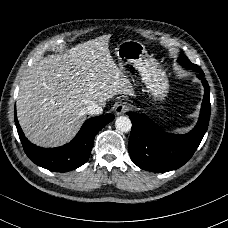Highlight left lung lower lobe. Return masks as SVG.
I'll return each mask as SVG.
<instances>
[{
  "label": "left lung lower lobe",
  "instance_id": "obj_1",
  "mask_svg": "<svg viewBox=\"0 0 228 228\" xmlns=\"http://www.w3.org/2000/svg\"><path fill=\"white\" fill-rule=\"evenodd\" d=\"M202 74L197 77L204 86V98L199 120L189 133L169 134L144 114L127 113L132 122L128 150L135 165L159 173L178 169L192 157L207 130L211 111L210 89Z\"/></svg>",
  "mask_w": 228,
  "mask_h": 228
}]
</instances>
